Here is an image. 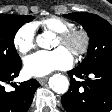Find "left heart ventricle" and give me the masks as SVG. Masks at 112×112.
<instances>
[{
  "instance_id": "left-heart-ventricle-1",
  "label": "left heart ventricle",
  "mask_w": 112,
  "mask_h": 112,
  "mask_svg": "<svg viewBox=\"0 0 112 112\" xmlns=\"http://www.w3.org/2000/svg\"><path fill=\"white\" fill-rule=\"evenodd\" d=\"M55 47H56V48L65 47L69 52L72 53V50L70 49V47H69V46H64V45L60 42L59 39L57 40V43H56Z\"/></svg>"
}]
</instances>
